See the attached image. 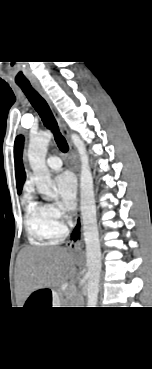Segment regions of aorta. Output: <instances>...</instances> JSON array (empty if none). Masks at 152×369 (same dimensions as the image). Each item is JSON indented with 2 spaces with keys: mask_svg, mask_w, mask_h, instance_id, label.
I'll return each mask as SVG.
<instances>
[{
  "mask_svg": "<svg viewBox=\"0 0 152 369\" xmlns=\"http://www.w3.org/2000/svg\"><path fill=\"white\" fill-rule=\"evenodd\" d=\"M51 138V131H45L38 135L31 136L28 149V159L33 171L34 182L38 192L48 197H55L56 191L54 190L50 172L45 162ZM71 139L78 150L81 161L80 209L89 277L87 283V307H96L101 273V248L97 226L93 177L89 166L86 147L83 141L74 133L71 135Z\"/></svg>",
  "mask_w": 152,
  "mask_h": 369,
  "instance_id": "aorta-1",
  "label": "aorta"
}]
</instances>
